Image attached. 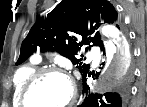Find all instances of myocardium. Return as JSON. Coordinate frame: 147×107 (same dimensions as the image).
<instances>
[{"instance_id":"1","label":"myocardium","mask_w":147,"mask_h":107,"mask_svg":"<svg viewBox=\"0 0 147 107\" xmlns=\"http://www.w3.org/2000/svg\"><path fill=\"white\" fill-rule=\"evenodd\" d=\"M48 75L61 76L64 79H66L70 84V90H71L70 96L67 99V101L59 107H68L74 103L76 96H77V87H76V83L73 80V78L70 77L63 69H61L59 67H45V68H41V69L36 70L32 74V76L28 79V81L26 82V84L21 92V96H20V100H21L23 107H31V105L29 103V93H30L31 89L40 80H42L44 77H46Z\"/></svg>"}]
</instances>
